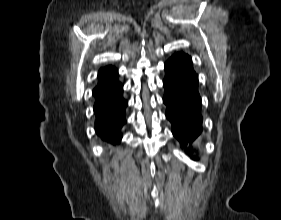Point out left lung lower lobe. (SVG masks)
<instances>
[{
  "label": "left lung lower lobe",
  "mask_w": 281,
  "mask_h": 220,
  "mask_svg": "<svg viewBox=\"0 0 281 220\" xmlns=\"http://www.w3.org/2000/svg\"><path fill=\"white\" fill-rule=\"evenodd\" d=\"M163 86L166 117L172 124V133L181 147L191 154L202 132L201 98L198 76L189 55L175 53L165 63ZM195 159V158H193Z\"/></svg>",
  "instance_id": "0a47b994"
}]
</instances>
